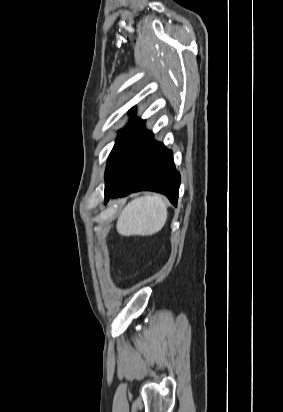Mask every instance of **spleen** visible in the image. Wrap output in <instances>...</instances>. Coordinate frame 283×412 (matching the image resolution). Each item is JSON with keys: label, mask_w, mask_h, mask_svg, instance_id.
I'll return each mask as SVG.
<instances>
[{"label": "spleen", "mask_w": 283, "mask_h": 412, "mask_svg": "<svg viewBox=\"0 0 283 412\" xmlns=\"http://www.w3.org/2000/svg\"><path fill=\"white\" fill-rule=\"evenodd\" d=\"M167 220V207L159 195L134 199L121 212L117 231L122 236H149L159 232Z\"/></svg>", "instance_id": "1"}]
</instances>
